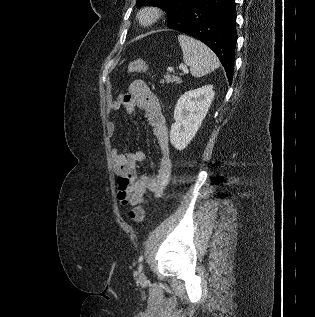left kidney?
Returning a JSON list of instances; mask_svg holds the SVG:
<instances>
[{"label":"left kidney","mask_w":315,"mask_h":317,"mask_svg":"<svg viewBox=\"0 0 315 317\" xmlns=\"http://www.w3.org/2000/svg\"><path fill=\"white\" fill-rule=\"evenodd\" d=\"M212 85L185 92L178 99L174 110L175 123L171 126L170 142L183 150L195 136L213 101Z\"/></svg>","instance_id":"obj_1"}]
</instances>
